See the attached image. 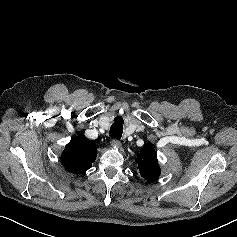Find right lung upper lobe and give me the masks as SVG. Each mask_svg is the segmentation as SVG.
I'll return each mask as SVG.
<instances>
[{
    "instance_id": "right-lung-upper-lobe-1",
    "label": "right lung upper lobe",
    "mask_w": 237,
    "mask_h": 237,
    "mask_svg": "<svg viewBox=\"0 0 237 237\" xmlns=\"http://www.w3.org/2000/svg\"><path fill=\"white\" fill-rule=\"evenodd\" d=\"M95 143L84 136H76L66 145L61 155L63 166L72 173H83L91 168L97 156Z\"/></svg>"
}]
</instances>
